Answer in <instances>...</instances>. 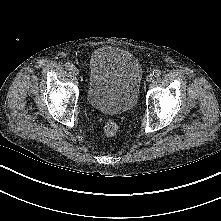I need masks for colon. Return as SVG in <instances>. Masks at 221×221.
I'll use <instances>...</instances> for the list:
<instances>
[{
    "instance_id": "colon-1",
    "label": "colon",
    "mask_w": 221,
    "mask_h": 221,
    "mask_svg": "<svg viewBox=\"0 0 221 221\" xmlns=\"http://www.w3.org/2000/svg\"><path fill=\"white\" fill-rule=\"evenodd\" d=\"M119 127L116 122L112 120L106 121L103 126V132L107 137H114L117 135Z\"/></svg>"
}]
</instances>
